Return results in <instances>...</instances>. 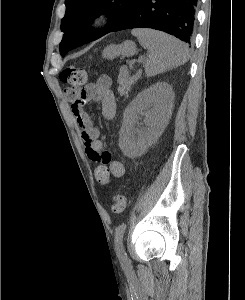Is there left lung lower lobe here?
Instances as JSON below:
<instances>
[{
    "mask_svg": "<svg viewBox=\"0 0 245 300\" xmlns=\"http://www.w3.org/2000/svg\"><path fill=\"white\" fill-rule=\"evenodd\" d=\"M197 2L198 0H136L124 18L107 33L132 28H152L191 44ZM98 38L100 36L89 42Z\"/></svg>",
    "mask_w": 245,
    "mask_h": 300,
    "instance_id": "1",
    "label": "left lung lower lobe"
}]
</instances>
